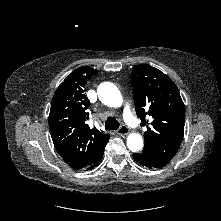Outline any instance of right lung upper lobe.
Returning <instances> with one entry per match:
<instances>
[{"label": "right lung upper lobe", "instance_id": "right-lung-upper-lobe-1", "mask_svg": "<svg viewBox=\"0 0 221 221\" xmlns=\"http://www.w3.org/2000/svg\"><path fill=\"white\" fill-rule=\"evenodd\" d=\"M96 69L79 67L59 85L49 114L50 134L63 160L73 169L90 167L103 152L110 135L90 129V101L84 94L87 80Z\"/></svg>", "mask_w": 221, "mask_h": 221}]
</instances>
